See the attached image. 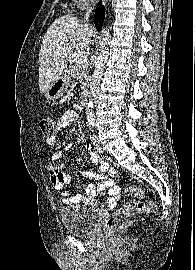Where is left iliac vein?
Returning <instances> with one entry per match:
<instances>
[{
	"instance_id": "1",
	"label": "left iliac vein",
	"mask_w": 195,
	"mask_h": 270,
	"mask_svg": "<svg viewBox=\"0 0 195 270\" xmlns=\"http://www.w3.org/2000/svg\"><path fill=\"white\" fill-rule=\"evenodd\" d=\"M93 144L99 153L105 152V148L101 145L99 138L96 134L93 137Z\"/></svg>"
}]
</instances>
